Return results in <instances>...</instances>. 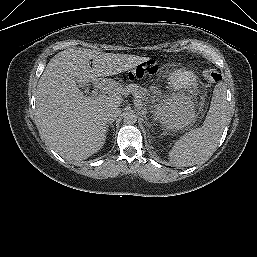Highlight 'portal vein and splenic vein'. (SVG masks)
<instances>
[{
  "label": "portal vein and splenic vein",
  "mask_w": 257,
  "mask_h": 257,
  "mask_svg": "<svg viewBox=\"0 0 257 257\" xmlns=\"http://www.w3.org/2000/svg\"><path fill=\"white\" fill-rule=\"evenodd\" d=\"M103 98H104V95H100V96L97 97L98 100H101ZM134 101H135L136 106H138L137 101L136 100H134Z\"/></svg>",
  "instance_id": "portal-vein-and-splenic-vein-1"
}]
</instances>
